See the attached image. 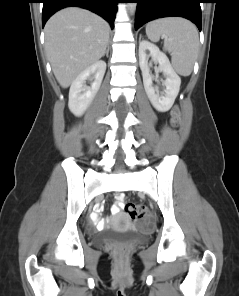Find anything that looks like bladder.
<instances>
[{
	"instance_id": "obj_1",
	"label": "bladder",
	"mask_w": 239,
	"mask_h": 296,
	"mask_svg": "<svg viewBox=\"0 0 239 296\" xmlns=\"http://www.w3.org/2000/svg\"><path fill=\"white\" fill-rule=\"evenodd\" d=\"M132 233V230L127 231H117L114 229H110L107 233L103 235H97L94 239L96 244H107V243H113L117 241L121 236ZM138 239H143V235L140 234L138 236Z\"/></svg>"
}]
</instances>
